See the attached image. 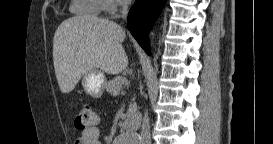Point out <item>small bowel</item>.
Here are the masks:
<instances>
[{"instance_id": "c3829d8e", "label": "small bowel", "mask_w": 273, "mask_h": 144, "mask_svg": "<svg viewBox=\"0 0 273 144\" xmlns=\"http://www.w3.org/2000/svg\"><path fill=\"white\" fill-rule=\"evenodd\" d=\"M101 133L98 128H91L81 132L80 136L75 139L74 144H100Z\"/></svg>"}]
</instances>
